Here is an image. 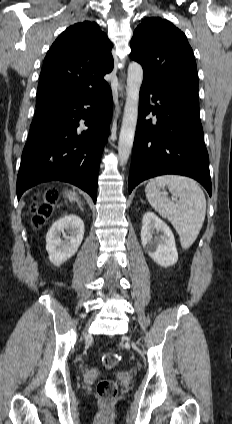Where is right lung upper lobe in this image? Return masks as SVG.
I'll return each mask as SVG.
<instances>
[{
	"instance_id": "1",
	"label": "right lung upper lobe",
	"mask_w": 232,
	"mask_h": 424,
	"mask_svg": "<svg viewBox=\"0 0 232 424\" xmlns=\"http://www.w3.org/2000/svg\"><path fill=\"white\" fill-rule=\"evenodd\" d=\"M111 49L112 43L94 22L67 28L44 59L36 107L82 100L108 88L103 76L113 70Z\"/></svg>"
}]
</instances>
